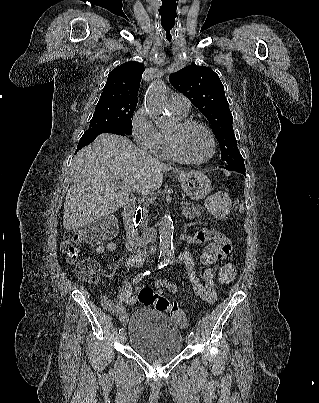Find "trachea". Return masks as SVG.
Wrapping results in <instances>:
<instances>
[{"label": "trachea", "instance_id": "trachea-1", "mask_svg": "<svg viewBox=\"0 0 319 403\" xmlns=\"http://www.w3.org/2000/svg\"><path fill=\"white\" fill-rule=\"evenodd\" d=\"M162 27L164 29V32L166 34V39L167 41L172 40V30L174 27V22L173 21H165L162 23Z\"/></svg>", "mask_w": 319, "mask_h": 403}]
</instances>
